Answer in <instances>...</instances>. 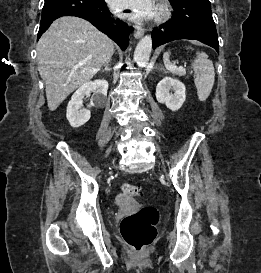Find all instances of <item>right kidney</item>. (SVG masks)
Instances as JSON below:
<instances>
[{
    "label": "right kidney",
    "instance_id": "obj_1",
    "mask_svg": "<svg viewBox=\"0 0 261 273\" xmlns=\"http://www.w3.org/2000/svg\"><path fill=\"white\" fill-rule=\"evenodd\" d=\"M108 82L104 79H97L85 83L77 89L72 95L71 100L67 106L66 117L73 128H78L84 125L91 117L89 109H81L82 99L85 95H90L91 92H95L96 96L92 99L89 107L94 106L95 103L104 101L107 96Z\"/></svg>",
    "mask_w": 261,
    "mask_h": 273
}]
</instances>
